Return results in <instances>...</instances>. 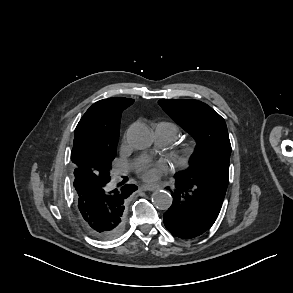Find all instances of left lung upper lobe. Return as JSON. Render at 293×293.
I'll list each match as a JSON object with an SVG mask.
<instances>
[{"label":"left lung upper lobe","mask_w":293,"mask_h":293,"mask_svg":"<svg viewBox=\"0 0 293 293\" xmlns=\"http://www.w3.org/2000/svg\"><path fill=\"white\" fill-rule=\"evenodd\" d=\"M162 109L197 142L189 167L175 179L227 189L231 144L224 119L197 100H159Z\"/></svg>","instance_id":"1"}]
</instances>
